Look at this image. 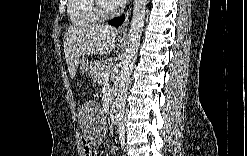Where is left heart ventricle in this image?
<instances>
[{
    "instance_id": "b2bd125f",
    "label": "left heart ventricle",
    "mask_w": 247,
    "mask_h": 156,
    "mask_svg": "<svg viewBox=\"0 0 247 156\" xmlns=\"http://www.w3.org/2000/svg\"><path fill=\"white\" fill-rule=\"evenodd\" d=\"M114 4L111 1L104 2V7L106 9H110Z\"/></svg>"
}]
</instances>
